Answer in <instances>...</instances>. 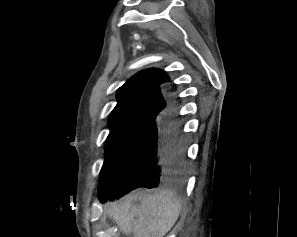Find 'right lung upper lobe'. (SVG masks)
<instances>
[{"instance_id":"cb5924a9","label":"right lung upper lobe","mask_w":297,"mask_h":237,"mask_svg":"<svg viewBox=\"0 0 297 237\" xmlns=\"http://www.w3.org/2000/svg\"><path fill=\"white\" fill-rule=\"evenodd\" d=\"M169 77L159 69L143 70L117 90V105L109 117V124L134 118L153 119L165 111L170 98L163 95L162 87Z\"/></svg>"}]
</instances>
